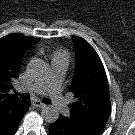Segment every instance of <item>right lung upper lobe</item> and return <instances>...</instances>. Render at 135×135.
Returning <instances> with one entry per match:
<instances>
[{"mask_svg": "<svg viewBox=\"0 0 135 135\" xmlns=\"http://www.w3.org/2000/svg\"><path fill=\"white\" fill-rule=\"evenodd\" d=\"M39 40L18 34L0 39V110L7 108V114H12L24 102L8 92L13 89L12 81L18 78L24 52Z\"/></svg>", "mask_w": 135, "mask_h": 135, "instance_id": "obj_1", "label": "right lung upper lobe"}]
</instances>
